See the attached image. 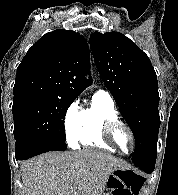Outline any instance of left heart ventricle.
Wrapping results in <instances>:
<instances>
[{
	"instance_id": "obj_1",
	"label": "left heart ventricle",
	"mask_w": 178,
	"mask_h": 195,
	"mask_svg": "<svg viewBox=\"0 0 178 195\" xmlns=\"http://www.w3.org/2000/svg\"><path fill=\"white\" fill-rule=\"evenodd\" d=\"M114 141L118 148L124 152H129L132 147V140L126 129L120 127L116 130Z\"/></svg>"
}]
</instances>
